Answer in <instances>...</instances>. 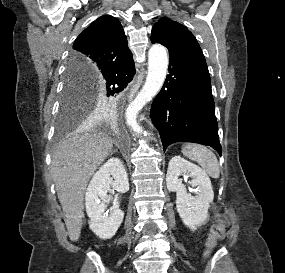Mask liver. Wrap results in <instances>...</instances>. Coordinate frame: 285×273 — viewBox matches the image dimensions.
Masks as SVG:
<instances>
[{"mask_svg":"<svg viewBox=\"0 0 285 273\" xmlns=\"http://www.w3.org/2000/svg\"><path fill=\"white\" fill-rule=\"evenodd\" d=\"M86 128V125L83 126L59 143L51 161L52 178L72 241H77L81 234L87 184L113 148L112 138L105 134H78Z\"/></svg>","mask_w":285,"mask_h":273,"instance_id":"liver-1","label":"liver"}]
</instances>
